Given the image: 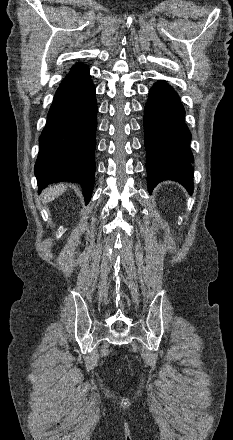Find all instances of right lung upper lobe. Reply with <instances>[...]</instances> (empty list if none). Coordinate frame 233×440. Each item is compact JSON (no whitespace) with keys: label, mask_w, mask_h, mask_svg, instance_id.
Listing matches in <instances>:
<instances>
[{"label":"right lung upper lobe","mask_w":233,"mask_h":440,"mask_svg":"<svg viewBox=\"0 0 233 440\" xmlns=\"http://www.w3.org/2000/svg\"><path fill=\"white\" fill-rule=\"evenodd\" d=\"M83 67H86V66L82 65L81 63H78V64L74 65V67L71 69V72L76 71L78 69H81Z\"/></svg>","instance_id":"right-lung-upper-lobe-1"}]
</instances>
